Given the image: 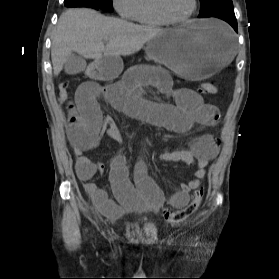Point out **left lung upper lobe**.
Here are the masks:
<instances>
[{"label": "left lung upper lobe", "instance_id": "1", "mask_svg": "<svg viewBox=\"0 0 279 279\" xmlns=\"http://www.w3.org/2000/svg\"><path fill=\"white\" fill-rule=\"evenodd\" d=\"M199 18L213 17L216 14L234 12L232 0H200Z\"/></svg>", "mask_w": 279, "mask_h": 279}]
</instances>
